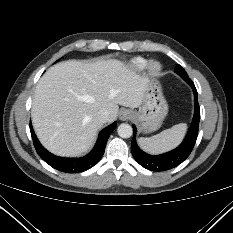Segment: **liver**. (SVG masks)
Segmentation results:
<instances>
[{"instance_id": "obj_1", "label": "liver", "mask_w": 233, "mask_h": 233, "mask_svg": "<svg viewBox=\"0 0 233 233\" xmlns=\"http://www.w3.org/2000/svg\"><path fill=\"white\" fill-rule=\"evenodd\" d=\"M149 80L119 60H68L49 68L39 80L31 116L35 133L51 153L76 157L94 144L102 127L101 109L113 122L119 106L141 105Z\"/></svg>"}]
</instances>
